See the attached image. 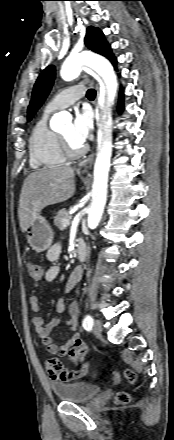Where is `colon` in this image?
<instances>
[{
    "mask_svg": "<svg viewBox=\"0 0 174 440\" xmlns=\"http://www.w3.org/2000/svg\"><path fill=\"white\" fill-rule=\"evenodd\" d=\"M27 271L29 276L35 280L39 281L43 276V269L39 263L36 262H28L27 263ZM125 377L130 381L134 382L136 380V375L132 370H126ZM110 381L113 384H117L119 382V376L116 372H113L110 376ZM131 401V396L127 392L121 391L118 392L116 396V402L119 405H126Z\"/></svg>",
    "mask_w": 174,
    "mask_h": 440,
    "instance_id": "obj_1",
    "label": "colon"
}]
</instances>
